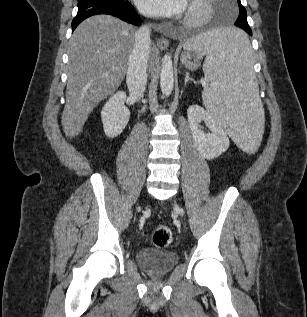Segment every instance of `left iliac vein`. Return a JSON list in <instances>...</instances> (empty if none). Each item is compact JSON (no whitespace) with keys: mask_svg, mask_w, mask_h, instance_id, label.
<instances>
[{"mask_svg":"<svg viewBox=\"0 0 307 317\" xmlns=\"http://www.w3.org/2000/svg\"><path fill=\"white\" fill-rule=\"evenodd\" d=\"M174 210L177 214H179L180 216L183 215V210L181 209V207L177 204H174Z\"/></svg>","mask_w":307,"mask_h":317,"instance_id":"left-iliac-vein-1","label":"left iliac vein"}]
</instances>
